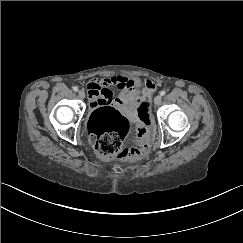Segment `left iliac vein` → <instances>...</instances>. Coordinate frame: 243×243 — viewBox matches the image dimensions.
<instances>
[{
    "label": "left iliac vein",
    "instance_id": "left-iliac-vein-1",
    "mask_svg": "<svg viewBox=\"0 0 243 243\" xmlns=\"http://www.w3.org/2000/svg\"><path fill=\"white\" fill-rule=\"evenodd\" d=\"M162 101V96L161 95H157L154 99V103L155 105H160Z\"/></svg>",
    "mask_w": 243,
    "mask_h": 243
}]
</instances>
